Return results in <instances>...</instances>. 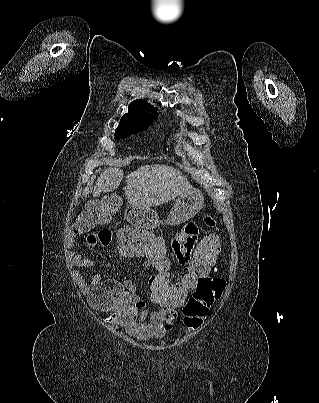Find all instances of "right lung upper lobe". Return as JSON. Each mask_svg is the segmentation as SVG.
<instances>
[{
	"mask_svg": "<svg viewBox=\"0 0 319 403\" xmlns=\"http://www.w3.org/2000/svg\"><path fill=\"white\" fill-rule=\"evenodd\" d=\"M157 109L147 103L145 100L138 99L130 103L128 113L122 118L133 121H144L158 116Z\"/></svg>",
	"mask_w": 319,
	"mask_h": 403,
	"instance_id": "obj_1",
	"label": "right lung upper lobe"
}]
</instances>
